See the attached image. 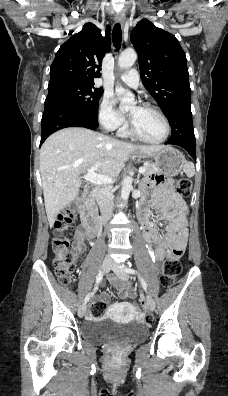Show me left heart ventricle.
Listing matches in <instances>:
<instances>
[{"mask_svg": "<svg viewBox=\"0 0 228 396\" xmlns=\"http://www.w3.org/2000/svg\"><path fill=\"white\" fill-rule=\"evenodd\" d=\"M129 113L134 127L144 138L158 140L164 135V124L154 111L133 105Z\"/></svg>", "mask_w": 228, "mask_h": 396, "instance_id": "obj_1", "label": "left heart ventricle"}]
</instances>
